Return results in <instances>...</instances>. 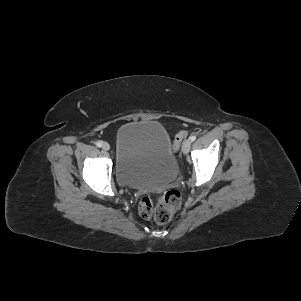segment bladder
Wrapping results in <instances>:
<instances>
[{
  "label": "bladder",
  "mask_w": 301,
  "mask_h": 301,
  "mask_svg": "<svg viewBox=\"0 0 301 301\" xmlns=\"http://www.w3.org/2000/svg\"><path fill=\"white\" fill-rule=\"evenodd\" d=\"M177 161L170 136L156 121L122 125L116 138L115 175L120 185L159 188L174 179Z\"/></svg>",
  "instance_id": "31cf9c89"
}]
</instances>
